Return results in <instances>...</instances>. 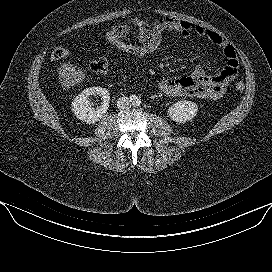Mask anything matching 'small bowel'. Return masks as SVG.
Wrapping results in <instances>:
<instances>
[{"instance_id": "1", "label": "small bowel", "mask_w": 272, "mask_h": 272, "mask_svg": "<svg viewBox=\"0 0 272 272\" xmlns=\"http://www.w3.org/2000/svg\"><path fill=\"white\" fill-rule=\"evenodd\" d=\"M111 31L139 40L163 41L166 31H175L183 38L198 35L219 46L226 59L225 67L215 75H208L201 64H197L188 76L165 79L158 83V89L171 97H189L216 100L222 97L229 82L238 74V57L235 48L219 33L204 26L170 17L161 18L149 24L140 18H130L112 27Z\"/></svg>"}]
</instances>
